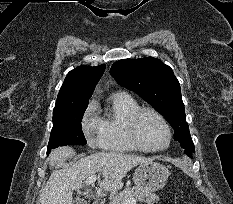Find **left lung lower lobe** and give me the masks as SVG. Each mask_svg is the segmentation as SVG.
I'll list each match as a JSON object with an SVG mask.
<instances>
[{
    "instance_id": "obj_1",
    "label": "left lung lower lobe",
    "mask_w": 233,
    "mask_h": 204,
    "mask_svg": "<svg viewBox=\"0 0 233 204\" xmlns=\"http://www.w3.org/2000/svg\"><path fill=\"white\" fill-rule=\"evenodd\" d=\"M187 152H188L187 154H188L189 156H192V152H189V151H187Z\"/></svg>"
}]
</instances>
